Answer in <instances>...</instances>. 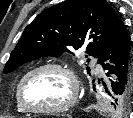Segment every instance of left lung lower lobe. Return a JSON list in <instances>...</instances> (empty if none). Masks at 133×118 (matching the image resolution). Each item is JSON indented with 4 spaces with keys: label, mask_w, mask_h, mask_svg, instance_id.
Masks as SVG:
<instances>
[{
    "label": "left lung lower lobe",
    "mask_w": 133,
    "mask_h": 118,
    "mask_svg": "<svg viewBox=\"0 0 133 118\" xmlns=\"http://www.w3.org/2000/svg\"><path fill=\"white\" fill-rule=\"evenodd\" d=\"M104 70L114 73L117 81L112 82V91L116 96H120L126 91L133 96V54L130 46L129 36L125 26L121 25L114 37L103 49L98 58ZM105 85V83H104ZM110 94L109 91H107Z\"/></svg>",
    "instance_id": "1"
}]
</instances>
